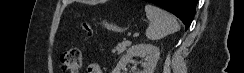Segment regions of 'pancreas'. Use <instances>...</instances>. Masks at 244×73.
<instances>
[{"label":"pancreas","instance_id":"1","mask_svg":"<svg viewBox=\"0 0 244 73\" xmlns=\"http://www.w3.org/2000/svg\"><path fill=\"white\" fill-rule=\"evenodd\" d=\"M130 45H131V42H129V41H124V42L118 43V44L114 47V49L112 50V52H113L114 54L120 55V54H122V53L126 50V48L129 47Z\"/></svg>","mask_w":244,"mask_h":73}]
</instances>
